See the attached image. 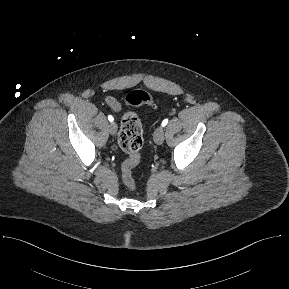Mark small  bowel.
<instances>
[{"instance_id": "1", "label": "small bowel", "mask_w": 289, "mask_h": 289, "mask_svg": "<svg viewBox=\"0 0 289 289\" xmlns=\"http://www.w3.org/2000/svg\"><path fill=\"white\" fill-rule=\"evenodd\" d=\"M105 103L110 106L114 111H121L122 107L120 103L113 97L108 96L105 98Z\"/></svg>"}]
</instances>
